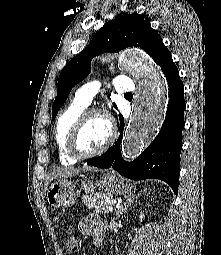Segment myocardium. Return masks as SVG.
<instances>
[{"label":"myocardium","mask_w":221,"mask_h":255,"mask_svg":"<svg viewBox=\"0 0 221 255\" xmlns=\"http://www.w3.org/2000/svg\"><path fill=\"white\" fill-rule=\"evenodd\" d=\"M92 116L102 117L108 125V137L105 143L97 150L89 153L82 152L79 148V138L81 131L86 122ZM116 138V129L110 116L103 110L92 108L82 113L79 119L73 125L67 142V149L69 154L76 160H86L97 157L108 150Z\"/></svg>","instance_id":"1"}]
</instances>
